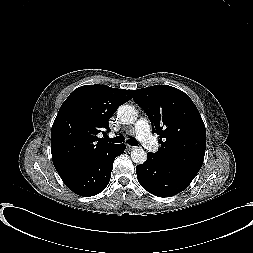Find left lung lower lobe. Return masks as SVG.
I'll list each match as a JSON object with an SVG mask.
<instances>
[{"instance_id":"obj_1","label":"left lung lower lobe","mask_w":253,"mask_h":253,"mask_svg":"<svg viewBox=\"0 0 253 253\" xmlns=\"http://www.w3.org/2000/svg\"><path fill=\"white\" fill-rule=\"evenodd\" d=\"M136 174L141 186L158 197H171L182 192L195 177L162 162L151 152L145 163L136 166Z\"/></svg>"}]
</instances>
